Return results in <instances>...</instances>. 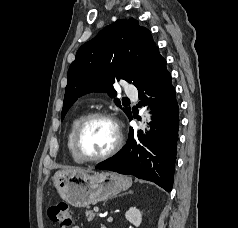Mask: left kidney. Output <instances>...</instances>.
<instances>
[{
  "label": "left kidney",
  "instance_id": "obj_1",
  "mask_svg": "<svg viewBox=\"0 0 238 228\" xmlns=\"http://www.w3.org/2000/svg\"><path fill=\"white\" fill-rule=\"evenodd\" d=\"M125 218L136 227H139L142 222L141 212L136 207H131L125 213Z\"/></svg>",
  "mask_w": 238,
  "mask_h": 228
}]
</instances>
